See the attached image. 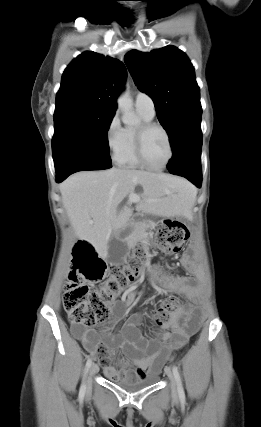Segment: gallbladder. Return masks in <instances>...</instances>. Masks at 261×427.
<instances>
[{
    "instance_id": "gallbladder-1",
    "label": "gallbladder",
    "mask_w": 261,
    "mask_h": 427,
    "mask_svg": "<svg viewBox=\"0 0 261 427\" xmlns=\"http://www.w3.org/2000/svg\"><path fill=\"white\" fill-rule=\"evenodd\" d=\"M127 253L126 245L112 234L108 241L107 260L114 265L121 264Z\"/></svg>"
}]
</instances>
